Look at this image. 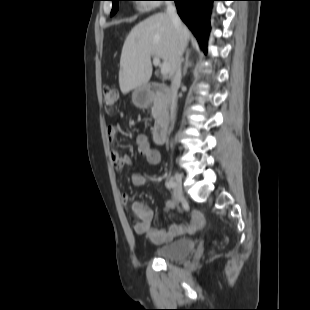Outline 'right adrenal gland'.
Wrapping results in <instances>:
<instances>
[{
    "mask_svg": "<svg viewBox=\"0 0 310 310\" xmlns=\"http://www.w3.org/2000/svg\"><path fill=\"white\" fill-rule=\"evenodd\" d=\"M189 57H190V50H188L186 52V56H185V65H184V69H183V77L186 75L187 72V68L192 66V63L189 61Z\"/></svg>",
    "mask_w": 310,
    "mask_h": 310,
    "instance_id": "obj_1",
    "label": "right adrenal gland"
}]
</instances>
